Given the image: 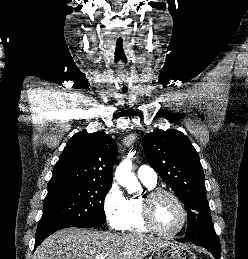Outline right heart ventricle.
<instances>
[{
  "mask_svg": "<svg viewBox=\"0 0 248 259\" xmlns=\"http://www.w3.org/2000/svg\"><path fill=\"white\" fill-rule=\"evenodd\" d=\"M148 190L154 189L155 185L143 182ZM122 230L134 233H145L150 231L146 226L142 215V197H132L128 199L125 223Z\"/></svg>",
  "mask_w": 248,
  "mask_h": 259,
  "instance_id": "right-heart-ventricle-1",
  "label": "right heart ventricle"
}]
</instances>
